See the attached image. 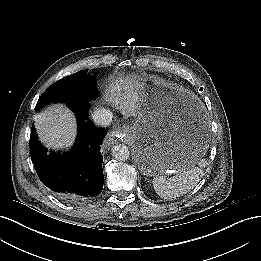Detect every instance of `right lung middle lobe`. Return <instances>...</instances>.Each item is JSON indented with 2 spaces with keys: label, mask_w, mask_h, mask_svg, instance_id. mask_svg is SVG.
<instances>
[{
  "label": "right lung middle lobe",
  "mask_w": 261,
  "mask_h": 261,
  "mask_svg": "<svg viewBox=\"0 0 261 261\" xmlns=\"http://www.w3.org/2000/svg\"><path fill=\"white\" fill-rule=\"evenodd\" d=\"M87 72L88 70H81L57 81L42 94L35 109L53 101L65 102L71 106L96 97L98 91L95 78L87 75Z\"/></svg>",
  "instance_id": "1"
}]
</instances>
